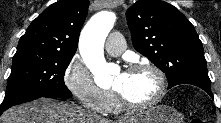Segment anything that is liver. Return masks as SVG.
Wrapping results in <instances>:
<instances>
[{
	"instance_id": "liver-1",
	"label": "liver",
	"mask_w": 221,
	"mask_h": 123,
	"mask_svg": "<svg viewBox=\"0 0 221 123\" xmlns=\"http://www.w3.org/2000/svg\"><path fill=\"white\" fill-rule=\"evenodd\" d=\"M2 123H128L113 122L71 104L52 99H40L8 109L1 117Z\"/></svg>"
}]
</instances>
